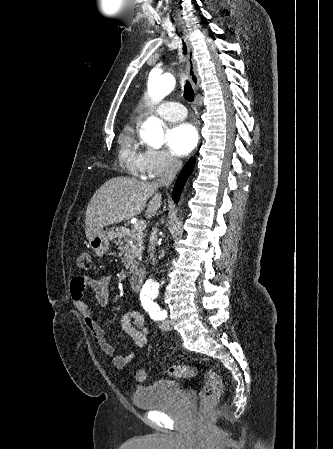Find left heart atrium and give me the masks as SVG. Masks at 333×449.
Masks as SVG:
<instances>
[{
    "label": "left heart atrium",
    "instance_id": "obj_1",
    "mask_svg": "<svg viewBox=\"0 0 333 449\" xmlns=\"http://www.w3.org/2000/svg\"><path fill=\"white\" fill-rule=\"evenodd\" d=\"M198 141L196 128L187 122L179 123L172 127L167 133V143L174 155L186 156Z\"/></svg>",
    "mask_w": 333,
    "mask_h": 449
}]
</instances>
